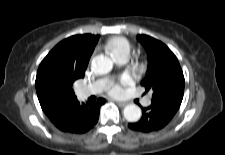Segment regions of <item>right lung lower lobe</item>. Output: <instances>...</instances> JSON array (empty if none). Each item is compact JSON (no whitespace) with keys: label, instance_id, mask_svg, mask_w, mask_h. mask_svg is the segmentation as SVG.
<instances>
[{"label":"right lung lower lobe","instance_id":"obj_1","mask_svg":"<svg viewBox=\"0 0 225 155\" xmlns=\"http://www.w3.org/2000/svg\"><path fill=\"white\" fill-rule=\"evenodd\" d=\"M105 99L99 98L96 103L82 104L76 100L60 106L47 115L51 122L61 131L83 134L89 131L98 121L100 106Z\"/></svg>","mask_w":225,"mask_h":155}]
</instances>
